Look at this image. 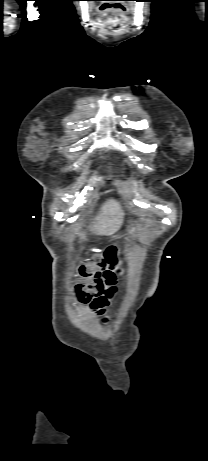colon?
I'll return each mask as SVG.
<instances>
[{"instance_id": "colon-1", "label": "colon", "mask_w": 208, "mask_h": 461, "mask_svg": "<svg viewBox=\"0 0 208 461\" xmlns=\"http://www.w3.org/2000/svg\"><path fill=\"white\" fill-rule=\"evenodd\" d=\"M117 248L109 247L103 259H95L80 270V281L75 290L81 301L88 302L97 298L103 291L105 281L115 278L117 270Z\"/></svg>"}]
</instances>
